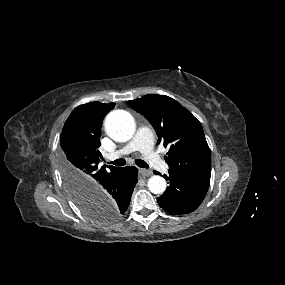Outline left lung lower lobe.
I'll return each mask as SVG.
<instances>
[{"mask_svg": "<svg viewBox=\"0 0 285 285\" xmlns=\"http://www.w3.org/2000/svg\"><path fill=\"white\" fill-rule=\"evenodd\" d=\"M164 178L169 181V186L157 201L163 210L171 214H188L196 210L209 187L207 182L188 179L171 171Z\"/></svg>", "mask_w": 285, "mask_h": 285, "instance_id": "left-lung-lower-lobe-1", "label": "left lung lower lobe"}]
</instances>
